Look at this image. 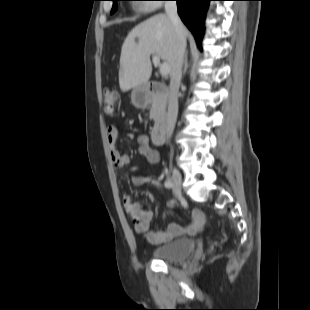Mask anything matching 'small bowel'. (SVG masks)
I'll return each mask as SVG.
<instances>
[{"label":"small bowel","mask_w":310,"mask_h":310,"mask_svg":"<svg viewBox=\"0 0 310 310\" xmlns=\"http://www.w3.org/2000/svg\"><path fill=\"white\" fill-rule=\"evenodd\" d=\"M108 142L111 146L110 159L112 166L118 174L124 166L130 164V158L121 153L116 148L118 140V129L115 126H109L107 129ZM137 144L140 154L146 157L149 163L157 164L160 162V154L150 145L149 138L146 135L137 137ZM132 182L136 186H141L150 183L154 186H161V180L158 176H141L135 175ZM124 208L131 216L133 227L136 233L144 234L146 240L151 244H163L172 241L183 233L195 234L202 230L206 223L205 214L201 210L192 212V220L187 225L170 223L164 230H152L151 221L153 213L146 209L142 203L133 200L130 194H124L122 197ZM175 204L174 200L168 202V206L172 207Z\"/></svg>","instance_id":"c3829d8e"}]
</instances>
